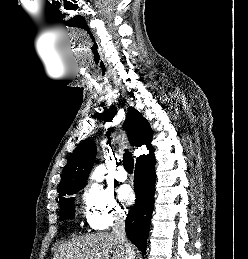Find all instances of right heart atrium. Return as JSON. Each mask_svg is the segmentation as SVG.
<instances>
[{
	"mask_svg": "<svg viewBox=\"0 0 248 259\" xmlns=\"http://www.w3.org/2000/svg\"><path fill=\"white\" fill-rule=\"evenodd\" d=\"M83 201L86 221L92 229H107L125 217V209L118 203L114 193L98 184H90L85 188Z\"/></svg>",
	"mask_w": 248,
	"mask_h": 259,
	"instance_id": "d8ad5b80",
	"label": "right heart atrium"
}]
</instances>
